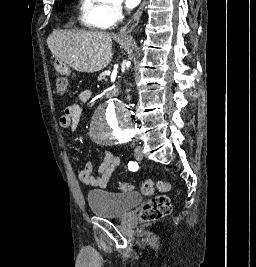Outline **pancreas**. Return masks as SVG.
<instances>
[{
    "label": "pancreas",
    "instance_id": "1",
    "mask_svg": "<svg viewBox=\"0 0 256 267\" xmlns=\"http://www.w3.org/2000/svg\"><path fill=\"white\" fill-rule=\"evenodd\" d=\"M103 78H105V74H101L100 80H103ZM112 94H119V92H115V90H114V92H112Z\"/></svg>",
    "mask_w": 256,
    "mask_h": 267
}]
</instances>
